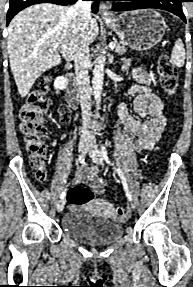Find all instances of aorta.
Returning <instances> with one entry per match:
<instances>
[{"label": "aorta", "mask_w": 193, "mask_h": 287, "mask_svg": "<svg viewBox=\"0 0 193 287\" xmlns=\"http://www.w3.org/2000/svg\"><path fill=\"white\" fill-rule=\"evenodd\" d=\"M104 63L105 57L100 55L95 60V67L93 70L92 88L96 100L97 109L100 108L101 93L104 79Z\"/></svg>", "instance_id": "obj_1"}]
</instances>
